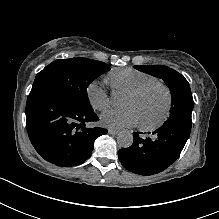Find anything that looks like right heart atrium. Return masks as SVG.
I'll return each mask as SVG.
<instances>
[{
    "instance_id": "d8ad5b80",
    "label": "right heart atrium",
    "mask_w": 219,
    "mask_h": 219,
    "mask_svg": "<svg viewBox=\"0 0 219 219\" xmlns=\"http://www.w3.org/2000/svg\"><path fill=\"white\" fill-rule=\"evenodd\" d=\"M86 98L90 105L99 111H104L111 105V97L106 82L92 81L86 89Z\"/></svg>"
}]
</instances>
